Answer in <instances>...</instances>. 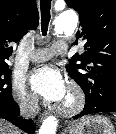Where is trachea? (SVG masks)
Listing matches in <instances>:
<instances>
[{
    "label": "trachea",
    "mask_w": 116,
    "mask_h": 134,
    "mask_svg": "<svg viewBox=\"0 0 116 134\" xmlns=\"http://www.w3.org/2000/svg\"><path fill=\"white\" fill-rule=\"evenodd\" d=\"M50 9H51V0H40L41 30L43 36L47 35L48 26L51 18Z\"/></svg>",
    "instance_id": "trachea-1"
}]
</instances>
